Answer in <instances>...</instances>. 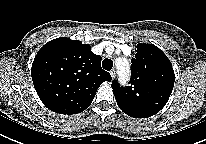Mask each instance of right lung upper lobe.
Instances as JSON below:
<instances>
[{
	"label": "right lung upper lobe",
	"mask_w": 206,
	"mask_h": 144,
	"mask_svg": "<svg viewBox=\"0 0 206 144\" xmlns=\"http://www.w3.org/2000/svg\"><path fill=\"white\" fill-rule=\"evenodd\" d=\"M35 90L50 110L60 114H77L93 101L109 72L101 68V57L91 46L70 38L46 43L37 53L31 69Z\"/></svg>",
	"instance_id": "right-lung-upper-lobe-1"
}]
</instances>
